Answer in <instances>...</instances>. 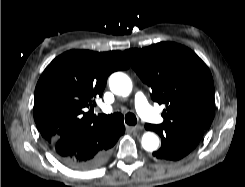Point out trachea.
I'll list each match as a JSON object with an SVG mask.
<instances>
[{
    "label": "trachea",
    "mask_w": 245,
    "mask_h": 187,
    "mask_svg": "<svg viewBox=\"0 0 245 187\" xmlns=\"http://www.w3.org/2000/svg\"><path fill=\"white\" fill-rule=\"evenodd\" d=\"M98 116L106 123L118 124L123 123L125 121L128 125L137 124L136 116L130 112L127 113L125 116L121 113H114L111 115L99 114Z\"/></svg>",
    "instance_id": "1"
}]
</instances>
